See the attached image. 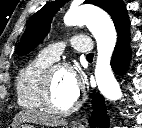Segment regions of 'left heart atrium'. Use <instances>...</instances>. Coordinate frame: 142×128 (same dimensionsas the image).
Masks as SVG:
<instances>
[{
  "label": "left heart atrium",
  "instance_id": "obj_1",
  "mask_svg": "<svg viewBox=\"0 0 142 128\" xmlns=\"http://www.w3.org/2000/svg\"><path fill=\"white\" fill-rule=\"evenodd\" d=\"M67 76H68V81L72 85V87L75 90L79 91L81 87V79L79 74L76 71L70 70L68 71Z\"/></svg>",
  "mask_w": 142,
  "mask_h": 128
}]
</instances>
